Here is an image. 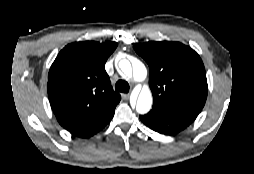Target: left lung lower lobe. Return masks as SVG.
<instances>
[{"mask_svg": "<svg viewBox=\"0 0 254 174\" xmlns=\"http://www.w3.org/2000/svg\"><path fill=\"white\" fill-rule=\"evenodd\" d=\"M140 119L154 131L165 135H175L189 126L196 116L153 105L152 110L140 116Z\"/></svg>", "mask_w": 254, "mask_h": 174, "instance_id": "left-lung-lower-lobe-1", "label": "left lung lower lobe"}]
</instances>
